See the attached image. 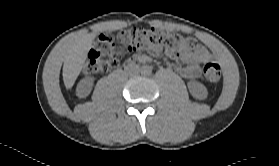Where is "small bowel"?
<instances>
[{
    "label": "small bowel",
    "mask_w": 279,
    "mask_h": 166,
    "mask_svg": "<svg viewBox=\"0 0 279 166\" xmlns=\"http://www.w3.org/2000/svg\"><path fill=\"white\" fill-rule=\"evenodd\" d=\"M210 53L203 47L197 48L194 52L183 57L185 65L177 67V71L187 79L196 78L200 72V64L210 59Z\"/></svg>",
    "instance_id": "obj_1"
}]
</instances>
